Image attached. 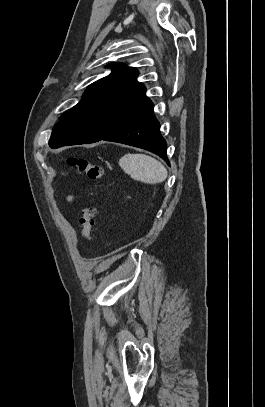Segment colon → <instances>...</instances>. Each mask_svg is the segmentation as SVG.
<instances>
[{
	"label": "colon",
	"mask_w": 265,
	"mask_h": 407,
	"mask_svg": "<svg viewBox=\"0 0 265 407\" xmlns=\"http://www.w3.org/2000/svg\"><path fill=\"white\" fill-rule=\"evenodd\" d=\"M66 163L69 167L76 169L78 173L85 174L92 181L99 182L104 178V168L87 158L70 156L66 159ZM95 217L96 208L90 204L85 205L80 219L83 241L90 240L95 225Z\"/></svg>",
	"instance_id": "colon-1"
}]
</instances>
